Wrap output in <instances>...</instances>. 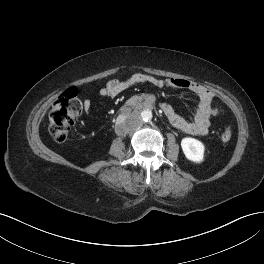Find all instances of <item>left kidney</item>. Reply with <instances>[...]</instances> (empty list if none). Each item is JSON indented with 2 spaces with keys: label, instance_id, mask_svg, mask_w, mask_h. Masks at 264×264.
<instances>
[{
  "label": "left kidney",
  "instance_id": "5707ae66",
  "mask_svg": "<svg viewBox=\"0 0 264 264\" xmlns=\"http://www.w3.org/2000/svg\"><path fill=\"white\" fill-rule=\"evenodd\" d=\"M181 147L188 160L195 163H201L203 161L205 147L199 140L191 137L183 138Z\"/></svg>",
  "mask_w": 264,
  "mask_h": 264
}]
</instances>
